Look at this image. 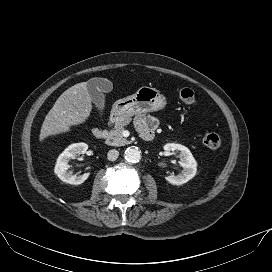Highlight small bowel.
Listing matches in <instances>:
<instances>
[{"label":"small bowel","mask_w":272,"mask_h":272,"mask_svg":"<svg viewBox=\"0 0 272 272\" xmlns=\"http://www.w3.org/2000/svg\"><path fill=\"white\" fill-rule=\"evenodd\" d=\"M158 126V121L156 118L149 115H142L137 121V128L141 136L146 139L149 132H153Z\"/></svg>","instance_id":"small-bowel-1"}]
</instances>
